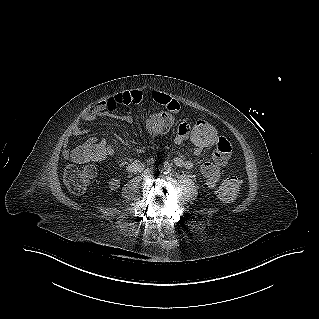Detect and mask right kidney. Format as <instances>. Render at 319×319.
<instances>
[{"mask_svg": "<svg viewBox=\"0 0 319 319\" xmlns=\"http://www.w3.org/2000/svg\"><path fill=\"white\" fill-rule=\"evenodd\" d=\"M108 183H109V188L112 191H115L120 187V179L112 178V179H110V181Z\"/></svg>", "mask_w": 319, "mask_h": 319, "instance_id": "right-kidney-1", "label": "right kidney"}]
</instances>
